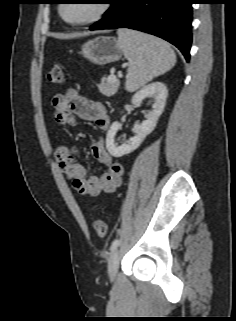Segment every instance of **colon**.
Segmentation results:
<instances>
[{
	"mask_svg": "<svg viewBox=\"0 0 236 321\" xmlns=\"http://www.w3.org/2000/svg\"><path fill=\"white\" fill-rule=\"evenodd\" d=\"M47 81L52 85L62 84L64 82V71L62 67L59 65L53 66L47 75ZM93 229L100 237H104L107 234V224L101 218L94 219Z\"/></svg>",
	"mask_w": 236,
	"mask_h": 321,
	"instance_id": "5ec220e1",
	"label": "colon"
}]
</instances>
